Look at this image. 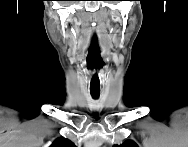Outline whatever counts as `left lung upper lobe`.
Returning <instances> with one entry per match:
<instances>
[{
  "label": "left lung upper lobe",
  "instance_id": "obj_1",
  "mask_svg": "<svg viewBox=\"0 0 188 147\" xmlns=\"http://www.w3.org/2000/svg\"><path fill=\"white\" fill-rule=\"evenodd\" d=\"M121 147H137V145L133 141H126Z\"/></svg>",
  "mask_w": 188,
  "mask_h": 147
}]
</instances>
